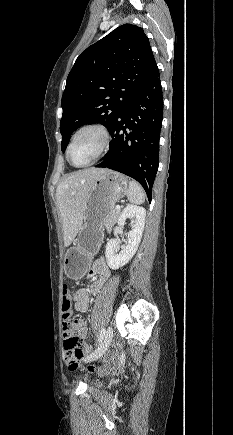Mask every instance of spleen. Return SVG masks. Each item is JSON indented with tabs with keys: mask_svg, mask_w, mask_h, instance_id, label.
<instances>
[{
	"mask_svg": "<svg viewBox=\"0 0 233 435\" xmlns=\"http://www.w3.org/2000/svg\"><path fill=\"white\" fill-rule=\"evenodd\" d=\"M128 200L134 204H142L145 201L143 188L135 180L129 181Z\"/></svg>",
	"mask_w": 233,
	"mask_h": 435,
	"instance_id": "1",
	"label": "spleen"
}]
</instances>
